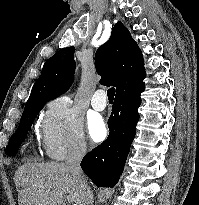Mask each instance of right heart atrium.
<instances>
[{"label": "right heart atrium", "mask_w": 199, "mask_h": 205, "mask_svg": "<svg viewBox=\"0 0 199 205\" xmlns=\"http://www.w3.org/2000/svg\"><path fill=\"white\" fill-rule=\"evenodd\" d=\"M42 145L53 160L80 157L87 152V142L80 115L69 98L51 100L41 122Z\"/></svg>", "instance_id": "1"}]
</instances>
